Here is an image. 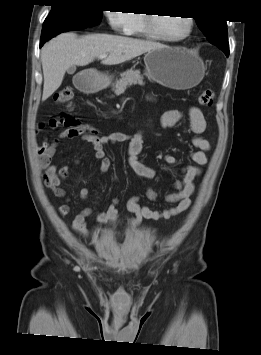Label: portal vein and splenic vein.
I'll return each instance as SVG.
<instances>
[{"label": "portal vein and splenic vein", "mask_w": 261, "mask_h": 355, "mask_svg": "<svg viewBox=\"0 0 261 355\" xmlns=\"http://www.w3.org/2000/svg\"><path fill=\"white\" fill-rule=\"evenodd\" d=\"M107 56H108L107 54H102V55L98 56V58H99V59H104V58H106Z\"/></svg>", "instance_id": "portal-vein-and-splenic-vein-1"}]
</instances>
